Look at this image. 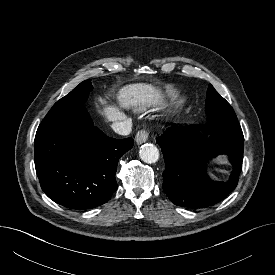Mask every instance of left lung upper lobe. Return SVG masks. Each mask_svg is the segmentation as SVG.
Wrapping results in <instances>:
<instances>
[{
    "mask_svg": "<svg viewBox=\"0 0 275 275\" xmlns=\"http://www.w3.org/2000/svg\"><path fill=\"white\" fill-rule=\"evenodd\" d=\"M208 127H240L236 114L230 104L222 98L212 85H209L206 98Z\"/></svg>",
    "mask_w": 275,
    "mask_h": 275,
    "instance_id": "5c2ea615",
    "label": "left lung upper lobe"
}]
</instances>
